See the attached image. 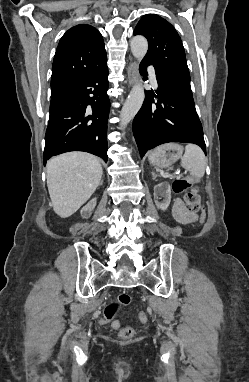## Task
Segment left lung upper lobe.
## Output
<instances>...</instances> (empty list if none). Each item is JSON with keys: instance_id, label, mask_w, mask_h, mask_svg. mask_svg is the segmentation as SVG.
I'll return each mask as SVG.
<instances>
[{"instance_id": "obj_1", "label": "left lung upper lobe", "mask_w": 249, "mask_h": 382, "mask_svg": "<svg viewBox=\"0 0 249 382\" xmlns=\"http://www.w3.org/2000/svg\"><path fill=\"white\" fill-rule=\"evenodd\" d=\"M133 34L147 38L149 49L144 60L152 63L156 73L192 93L185 51L175 28L162 17L148 14L141 18Z\"/></svg>"}]
</instances>
